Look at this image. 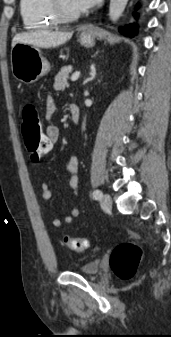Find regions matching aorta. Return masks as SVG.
I'll use <instances>...</instances> for the list:
<instances>
[{"label":"aorta","instance_id":"1","mask_svg":"<svg viewBox=\"0 0 171 337\" xmlns=\"http://www.w3.org/2000/svg\"><path fill=\"white\" fill-rule=\"evenodd\" d=\"M128 0H110L109 5V17L112 22L117 21L127 4Z\"/></svg>","mask_w":171,"mask_h":337}]
</instances>
